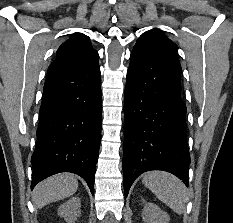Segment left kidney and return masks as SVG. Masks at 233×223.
Here are the masks:
<instances>
[{
	"mask_svg": "<svg viewBox=\"0 0 233 223\" xmlns=\"http://www.w3.org/2000/svg\"><path fill=\"white\" fill-rule=\"evenodd\" d=\"M144 207L142 209V219L144 223H168L170 217L167 211L160 209L156 203L142 199Z\"/></svg>",
	"mask_w": 233,
	"mask_h": 223,
	"instance_id": "left-kidney-1",
	"label": "left kidney"
}]
</instances>
